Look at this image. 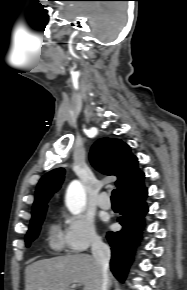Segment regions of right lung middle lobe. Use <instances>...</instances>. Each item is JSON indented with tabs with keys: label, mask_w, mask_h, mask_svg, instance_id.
Segmentation results:
<instances>
[{
	"label": "right lung middle lobe",
	"mask_w": 187,
	"mask_h": 290,
	"mask_svg": "<svg viewBox=\"0 0 187 290\" xmlns=\"http://www.w3.org/2000/svg\"><path fill=\"white\" fill-rule=\"evenodd\" d=\"M44 216H45V214H42L31 221L30 226H29V230H28L26 237H25V242H26L27 247H29L30 243L34 239L37 238L39 231H40L41 224L44 220Z\"/></svg>",
	"instance_id": "1"
}]
</instances>
